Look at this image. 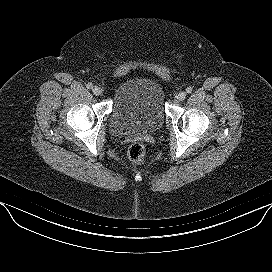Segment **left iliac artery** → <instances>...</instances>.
I'll return each mask as SVG.
<instances>
[{
    "instance_id": "44dca946",
    "label": "left iliac artery",
    "mask_w": 272,
    "mask_h": 272,
    "mask_svg": "<svg viewBox=\"0 0 272 272\" xmlns=\"http://www.w3.org/2000/svg\"><path fill=\"white\" fill-rule=\"evenodd\" d=\"M186 92L190 94L192 92V87H187Z\"/></svg>"
}]
</instances>
